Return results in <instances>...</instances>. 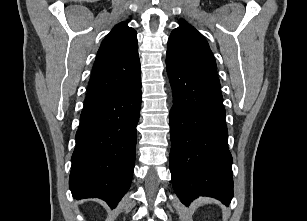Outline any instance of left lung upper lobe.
<instances>
[{"instance_id": "left-lung-upper-lobe-1", "label": "left lung upper lobe", "mask_w": 307, "mask_h": 221, "mask_svg": "<svg viewBox=\"0 0 307 221\" xmlns=\"http://www.w3.org/2000/svg\"><path fill=\"white\" fill-rule=\"evenodd\" d=\"M167 55L202 82L220 90L216 62L206 39L182 19L169 37Z\"/></svg>"}]
</instances>
